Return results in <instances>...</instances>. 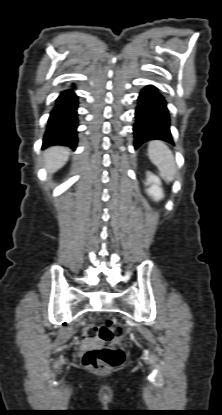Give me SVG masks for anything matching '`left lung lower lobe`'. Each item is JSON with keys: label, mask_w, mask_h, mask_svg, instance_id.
Returning a JSON list of instances; mask_svg holds the SVG:
<instances>
[{"label": "left lung lower lobe", "mask_w": 222, "mask_h": 415, "mask_svg": "<svg viewBox=\"0 0 222 415\" xmlns=\"http://www.w3.org/2000/svg\"><path fill=\"white\" fill-rule=\"evenodd\" d=\"M135 118L133 127L135 148L155 139L173 144L167 103L154 85H147L142 89L138 97Z\"/></svg>", "instance_id": "left-lung-lower-lobe-1"}]
</instances>
